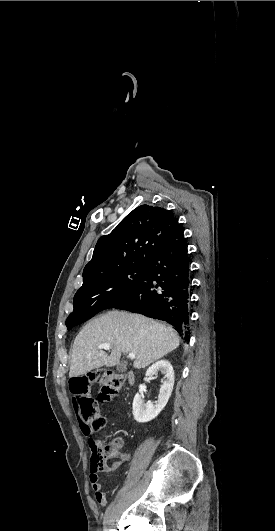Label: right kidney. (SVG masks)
<instances>
[{
	"mask_svg": "<svg viewBox=\"0 0 275 531\" xmlns=\"http://www.w3.org/2000/svg\"><path fill=\"white\" fill-rule=\"evenodd\" d=\"M158 371H162V373H164L166 381H164L163 385L160 387L158 401H156L155 405H153L151 401H147V403H145L139 393H136L133 399L132 413L137 423H148V421L155 419V417L161 413L162 409L166 407L172 395L175 375L171 363H169V361H165V359H162V361H157V363H154V365H151V367L147 369L146 377L157 375Z\"/></svg>",
	"mask_w": 275,
	"mask_h": 531,
	"instance_id": "1",
	"label": "right kidney"
}]
</instances>
